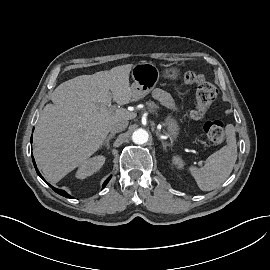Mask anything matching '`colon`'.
<instances>
[{
	"label": "colon",
	"mask_w": 270,
	"mask_h": 270,
	"mask_svg": "<svg viewBox=\"0 0 270 270\" xmlns=\"http://www.w3.org/2000/svg\"><path fill=\"white\" fill-rule=\"evenodd\" d=\"M187 85L195 86V107L191 111V117L199 120L207 112L212 102L217 97L216 87L210 83L204 75L196 72H187L184 76ZM207 138L215 144H219L224 139V125L219 120H209L203 125Z\"/></svg>",
	"instance_id": "5ec220e1"
}]
</instances>
